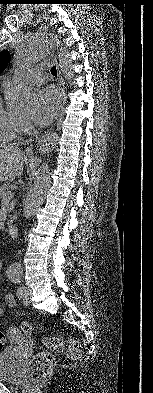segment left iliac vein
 <instances>
[{
    "label": "left iliac vein",
    "instance_id": "4c4485c4",
    "mask_svg": "<svg viewBox=\"0 0 153 393\" xmlns=\"http://www.w3.org/2000/svg\"><path fill=\"white\" fill-rule=\"evenodd\" d=\"M22 298V301L25 305H29L30 301H29V296H30V289L28 287H24L22 290V294L19 295Z\"/></svg>",
    "mask_w": 153,
    "mask_h": 393
}]
</instances>
